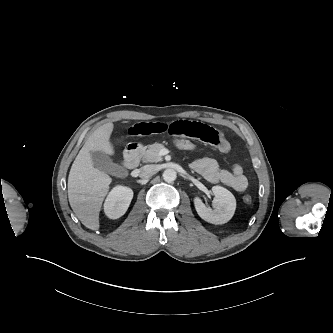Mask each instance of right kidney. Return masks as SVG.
Returning <instances> with one entry per match:
<instances>
[{
  "mask_svg": "<svg viewBox=\"0 0 333 333\" xmlns=\"http://www.w3.org/2000/svg\"><path fill=\"white\" fill-rule=\"evenodd\" d=\"M133 198L132 189L116 186L109 193L104 203V212L110 219H117L125 214Z\"/></svg>",
  "mask_w": 333,
  "mask_h": 333,
  "instance_id": "obj_1",
  "label": "right kidney"
}]
</instances>
